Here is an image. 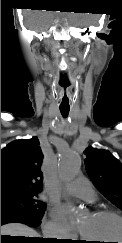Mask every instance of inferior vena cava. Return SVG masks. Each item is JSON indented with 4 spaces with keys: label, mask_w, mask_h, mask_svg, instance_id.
<instances>
[{
    "label": "inferior vena cava",
    "mask_w": 122,
    "mask_h": 243,
    "mask_svg": "<svg viewBox=\"0 0 122 243\" xmlns=\"http://www.w3.org/2000/svg\"><path fill=\"white\" fill-rule=\"evenodd\" d=\"M51 235V232L48 231L47 229L43 230V238H48V236Z\"/></svg>",
    "instance_id": "1"
}]
</instances>
